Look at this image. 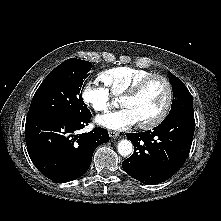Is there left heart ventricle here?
Masks as SVG:
<instances>
[{
  "mask_svg": "<svg viewBox=\"0 0 221 221\" xmlns=\"http://www.w3.org/2000/svg\"><path fill=\"white\" fill-rule=\"evenodd\" d=\"M167 97V89L161 80H151L135 98L120 100L123 108H128L135 115L137 122L153 119L163 108Z\"/></svg>",
  "mask_w": 221,
  "mask_h": 221,
  "instance_id": "obj_1",
  "label": "left heart ventricle"
}]
</instances>
